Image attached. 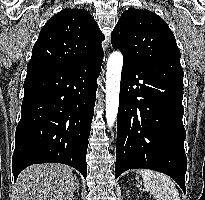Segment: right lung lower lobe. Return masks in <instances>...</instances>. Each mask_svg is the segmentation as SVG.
Returning a JSON list of instances; mask_svg holds the SVG:
<instances>
[{
  "label": "right lung lower lobe",
  "mask_w": 205,
  "mask_h": 200,
  "mask_svg": "<svg viewBox=\"0 0 205 200\" xmlns=\"http://www.w3.org/2000/svg\"><path fill=\"white\" fill-rule=\"evenodd\" d=\"M103 56L74 64H28L12 172L57 162L87 176L86 153Z\"/></svg>",
  "instance_id": "98d812e1"
}]
</instances>
